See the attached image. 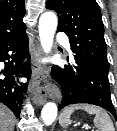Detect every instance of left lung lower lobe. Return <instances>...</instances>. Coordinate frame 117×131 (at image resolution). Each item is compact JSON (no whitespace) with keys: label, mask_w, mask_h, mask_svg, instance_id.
<instances>
[{"label":"left lung lower lobe","mask_w":117,"mask_h":131,"mask_svg":"<svg viewBox=\"0 0 117 131\" xmlns=\"http://www.w3.org/2000/svg\"><path fill=\"white\" fill-rule=\"evenodd\" d=\"M51 76L62 89L63 97L58 106L59 110L70 104L89 103L105 108L117 119L108 78L93 66L74 58L71 64L63 68L53 66Z\"/></svg>","instance_id":"obj_1"}]
</instances>
